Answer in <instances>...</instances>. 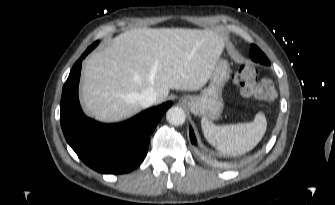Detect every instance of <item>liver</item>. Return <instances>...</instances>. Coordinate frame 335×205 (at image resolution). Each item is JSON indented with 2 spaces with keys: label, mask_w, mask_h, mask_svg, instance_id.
I'll return each instance as SVG.
<instances>
[{
  "label": "liver",
  "mask_w": 335,
  "mask_h": 205,
  "mask_svg": "<svg viewBox=\"0 0 335 205\" xmlns=\"http://www.w3.org/2000/svg\"><path fill=\"white\" fill-rule=\"evenodd\" d=\"M224 49L209 30L138 28L125 31L84 64L81 95L87 113L116 122L138 113L147 88L163 102L170 89L196 91L209 80Z\"/></svg>",
  "instance_id": "liver-1"
}]
</instances>
